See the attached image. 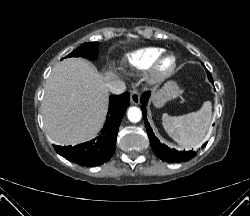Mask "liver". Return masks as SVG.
I'll use <instances>...</instances> for the list:
<instances>
[{"label":"liver","instance_id":"6515ba94","mask_svg":"<svg viewBox=\"0 0 250 216\" xmlns=\"http://www.w3.org/2000/svg\"><path fill=\"white\" fill-rule=\"evenodd\" d=\"M115 73L102 76L82 58L57 63L46 82L42 103L45 130L53 142L74 145L92 139L108 111L107 84Z\"/></svg>","mask_w":250,"mask_h":216}]
</instances>
